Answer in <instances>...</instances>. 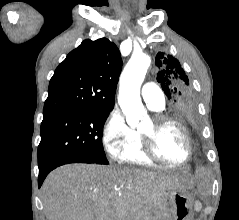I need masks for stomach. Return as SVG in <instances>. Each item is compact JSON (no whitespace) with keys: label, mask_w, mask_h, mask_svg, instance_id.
<instances>
[{"label":"stomach","mask_w":239,"mask_h":220,"mask_svg":"<svg viewBox=\"0 0 239 220\" xmlns=\"http://www.w3.org/2000/svg\"><path fill=\"white\" fill-rule=\"evenodd\" d=\"M167 198L172 209L173 220H190L193 200L185 189H171L167 193Z\"/></svg>","instance_id":"1"}]
</instances>
